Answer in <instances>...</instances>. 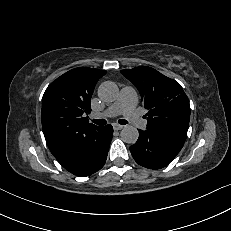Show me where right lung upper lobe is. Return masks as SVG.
Returning <instances> with one entry per match:
<instances>
[{"label":"right lung upper lobe","mask_w":231,"mask_h":231,"mask_svg":"<svg viewBox=\"0 0 231 231\" xmlns=\"http://www.w3.org/2000/svg\"><path fill=\"white\" fill-rule=\"evenodd\" d=\"M106 71L79 67L72 69L46 89L42 98V127L48 147L53 155L70 147L75 133L95 126L86 114L97 81Z\"/></svg>","instance_id":"cb5924a9"}]
</instances>
